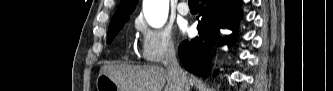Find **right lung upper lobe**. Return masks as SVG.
I'll use <instances>...</instances> for the list:
<instances>
[{"label":"right lung upper lobe","mask_w":333,"mask_h":91,"mask_svg":"<svg viewBox=\"0 0 333 91\" xmlns=\"http://www.w3.org/2000/svg\"><path fill=\"white\" fill-rule=\"evenodd\" d=\"M138 0H121L120 6L114 14L112 21L123 18H129L130 14L134 11Z\"/></svg>","instance_id":"obj_1"}]
</instances>
